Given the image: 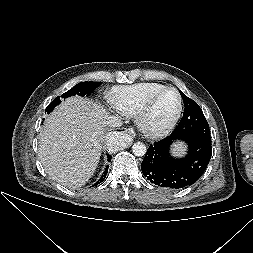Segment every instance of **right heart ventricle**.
Here are the masks:
<instances>
[{
    "label": "right heart ventricle",
    "mask_w": 253,
    "mask_h": 253,
    "mask_svg": "<svg viewBox=\"0 0 253 253\" xmlns=\"http://www.w3.org/2000/svg\"><path fill=\"white\" fill-rule=\"evenodd\" d=\"M164 87L163 84L154 82L117 86L111 90L110 100L113 107L121 114L136 117L145 99Z\"/></svg>",
    "instance_id": "e07e8e85"
}]
</instances>
